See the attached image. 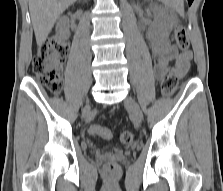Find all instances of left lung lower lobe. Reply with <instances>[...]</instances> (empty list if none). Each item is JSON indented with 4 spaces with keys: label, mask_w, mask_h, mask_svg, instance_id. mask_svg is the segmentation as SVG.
<instances>
[{
    "label": "left lung lower lobe",
    "mask_w": 223,
    "mask_h": 191,
    "mask_svg": "<svg viewBox=\"0 0 223 191\" xmlns=\"http://www.w3.org/2000/svg\"><path fill=\"white\" fill-rule=\"evenodd\" d=\"M192 1H193V0H188L189 4H191V3H192Z\"/></svg>",
    "instance_id": "left-lung-lower-lobe-1"
}]
</instances>
